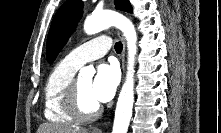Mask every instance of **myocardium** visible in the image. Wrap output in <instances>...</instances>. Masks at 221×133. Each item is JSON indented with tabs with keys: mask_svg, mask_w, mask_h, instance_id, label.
<instances>
[{
	"mask_svg": "<svg viewBox=\"0 0 221 133\" xmlns=\"http://www.w3.org/2000/svg\"><path fill=\"white\" fill-rule=\"evenodd\" d=\"M64 106L67 112L77 121H91L100 115L99 104L92 111H85L81 104L77 80L73 79L64 96Z\"/></svg>",
	"mask_w": 221,
	"mask_h": 133,
	"instance_id": "obj_1",
	"label": "myocardium"
}]
</instances>
